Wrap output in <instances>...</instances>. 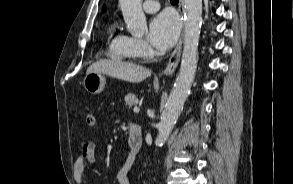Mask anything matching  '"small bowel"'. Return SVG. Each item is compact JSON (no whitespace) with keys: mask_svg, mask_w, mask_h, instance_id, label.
Segmentation results:
<instances>
[{"mask_svg":"<svg viewBox=\"0 0 293 184\" xmlns=\"http://www.w3.org/2000/svg\"><path fill=\"white\" fill-rule=\"evenodd\" d=\"M136 156L128 153L125 161L117 172V180L119 184H131L129 173L134 165ZM95 163V142L93 140H84L81 144V152L73 165L74 179L81 184L84 177V171L87 166Z\"/></svg>","mask_w":293,"mask_h":184,"instance_id":"small-bowel-1","label":"small bowel"}]
</instances>
